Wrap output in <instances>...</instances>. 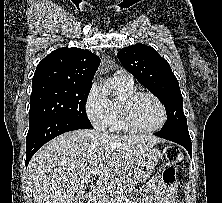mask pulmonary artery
Returning <instances> with one entry per match:
<instances>
[{
  "mask_svg": "<svg viewBox=\"0 0 222 203\" xmlns=\"http://www.w3.org/2000/svg\"><path fill=\"white\" fill-rule=\"evenodd\" d=\"M114 80L123 86H133L134 84L132 76L125 70H117L114 73Z\"/></svg>",
  "mask_w": 222,
  "mask_h": 203,
  "instance_id": "1",
  "label": "pulmonary artery"
}]
</instances>
